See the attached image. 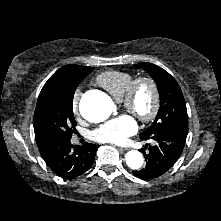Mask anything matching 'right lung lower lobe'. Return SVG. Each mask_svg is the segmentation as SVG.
<instances>
[{"instance_id": "right-lung-lower-lobe-1", "label": "right lung lower lobe", "mask_w": 221, "mask_h": 221, "mask_svg": "<svg viewBox=\"0 0 221 221\" xmlns=\"http://www.w3.org/2000/svg\"><path fill=\"white\" fill-rule=\"evenodd\" d=\"M98 145H72L70 140L50 141L38 149L51 170L64 179L75 178L89 170L94 162Z\"/></svg>"}]
</instances>
